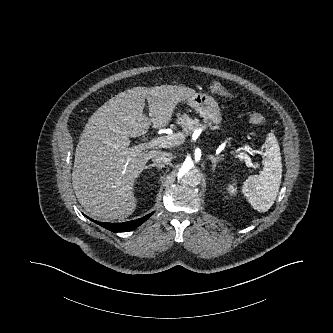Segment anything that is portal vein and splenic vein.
<instances>
[{
  "instance_id": "18ae733b",
  "label": "portal vein and splenic vein",
  "mask_w": 333,
  "mask_h": 333,
  "mask_svg": "<svg viewBox=\"0 0 333 333\" xmlns=\"http://www.w3.org/2000/svg\"><path fill=\"white\" fill-rule=\"evenodd\" d=\"M184 138V135L181 133L174 134V135H168V136H162L158 138L151 139L149 142L136 145L133 147V150L138 152L145 148L151 149V148H169L174 145L181 144V139ZM241 157L245 160L246 165L248 168H255V165L251 162L250 157L245 154L241 153ZM258 167V166H256Z\"/></svg>"
}]
</instances>
